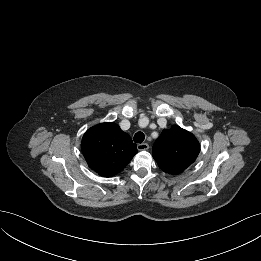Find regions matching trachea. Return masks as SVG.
I'll return each instance as SVG.
<instances>
[{"label":"trachea","instance_id":"trachea-1","mask_svg":"<svg viewBox=\"0 0 261 261\" xmlns=\"http://www.w3.org/2000/svg\"><path fill=\"white\" fill-rule=\"evenodd\" d=\"M144 139H145V135L142 132H137L133 138L134 142L136 143H142Z\"/></svg>","mask_w":261,"mask_h":261}]
</instances>
